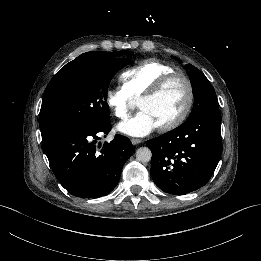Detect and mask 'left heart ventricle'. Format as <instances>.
Listing matches in <instances>:
<instances>
[{"mask_svg": "<svg viewBox=\"0 0 261 261\" xmlns=\"http://www.w3.org/2000/svg\"><path fill=\"white\" fill-rule=\"evenodd\" d=\"M187 95L185 82L183 79L177 78L159 96L141 102L140 109L147 111L161 126L175 118L182 111Z\"/></svg>", "mask_w": 261, "mask_h": 261, "instance_id": "1", "label": "left heart ventricle"}]
</instances>
